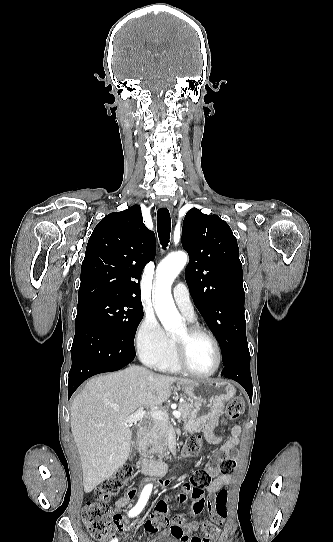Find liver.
Returning <instances> with one entry per match:
<instances>
[{
	"instance_id": "liver-1",
	"label": "liver",
	"mask_w": 333,
	"mask_h": 542,
	"mask_svg": "<svg viewBox=\"0 0 333 542\" xmlns=\"http://www.w3.org/2000/svg\"><path fill=\"white\" fill-rule=\"evenodd\" d=\"M173 384L194 386V380L152 374L130 366L121 372L95 376L87 382L71 406V432L78 448L83 488L90 494L125 464L132 440L123 420L137 408H162Z\"/></svg>"
}]
</instances>
